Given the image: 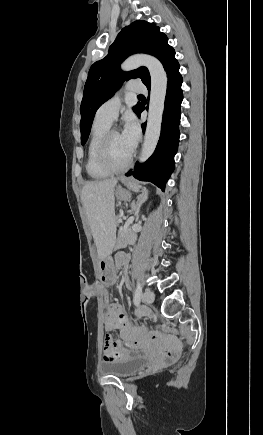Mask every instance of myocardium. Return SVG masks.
<instances>
[{
	"mask_svg": "<svg viewBox=\"0 0 263 435\" xmlns=\"http://www.w3.org/2000/svg\"><path fill=\"white\" fill-rule=\"evenodd\" d=\"M116 132H119L116 128H109L103 135L97 149V162L102 169L109 173H120L125 171L131 166L134 159V153L132 152L123 165L116 166L111 162L109 157V145L112 135Z\"/></svg>",
	"mask_w": 263,
	"mask_h": 435,
	"instance_id": "obj_1",
	"label": "myocardium"
}]
</instances>
